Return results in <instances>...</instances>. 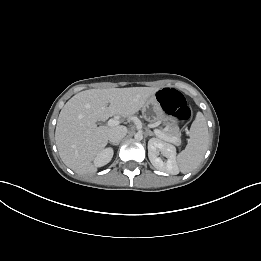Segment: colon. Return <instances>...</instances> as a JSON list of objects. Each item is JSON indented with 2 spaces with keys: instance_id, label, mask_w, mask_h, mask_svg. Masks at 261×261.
Wrapping results in <instances>:
<instances>
[{
  "instance_id": "colon-1",
  "label": "colon",
  "mask_w": 261,
  "mask_h": 261,
  "mask_svg": "<svg viewBox=\"0 0 261 261\" xmlns=\"http://www.w3.org/2000/svg\"><path fill=\"white\" fill-rule=\"evenodd\" d=\"M157 99L163 110L176 121H186L190 117V109L184 96L172 88H163L158 91Z\"/></svg>"
}]
</instances>
